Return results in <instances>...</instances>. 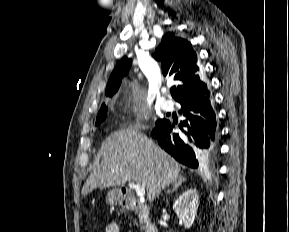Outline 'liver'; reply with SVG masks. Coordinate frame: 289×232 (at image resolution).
<instances>
[{"label":"liver","instance_id":"obj_1","mask_svg":"<svg viewBox=\"0 0 289 232\" xmlns=\"http://www.w3.org/2000/svg\"><path fill=\"white\" fill-rule=\"evenodd\" d=\"M99 154L101 163L87 178L82 188L84 196L97 188L133 182L143 187L147 200L153 202L180 174V165L173 157L134 129L111 134L102 143Z\"/></svg>","mask_w":289,"mask_h":232}]
</instances>
